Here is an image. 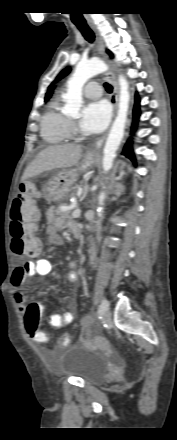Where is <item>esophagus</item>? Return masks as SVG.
<instances>
[{"label":"esophagus","instance_id":"1","mask_svg":"<svg viewBox=\"0 0 177 440\" xmlns=\"http://www.w3.org/2000/svg\"><path fill=\"white\" fill-rule=\"evenodd\" d=\"M89 27L91 28V30L94 32L97 42H98V51L100 53L101 56L105 55V49H104V43L102 40V37L99 33V30L97 28V26L93 23V22H88ZM106 78L110 81V83L113 86V93L111 95V103L113 105V109H114V113L116 111L117 108V103H118V85L115 79V75L111 72L108 71L106 72ZM105 141V136H103L102 138L98 139L93 146L89 149L88 151V156H95L97 155V153L99 152V150L101 149L103 143Z\"/></svg>","mask_w":177,"mask_h":440}]
</instances>
